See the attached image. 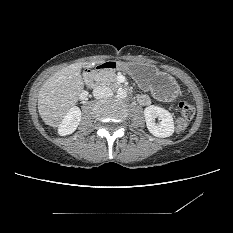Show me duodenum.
Returning <instances> with one entry per match:
<instances>
[{
    "instance_id": "1",
    "label": "duodenum",
    "mask_w": 233,
    "mask_h": 233,
    "mask_svg": "<svg viewBox=\"0 0 233 233\" xmlns=\"http://www.w3.org/2000/svg\"><path fill=\"white\" fill-rule=\"evenodd\" d=\"M118 68H119V63L116 61L100 62L96 64L94 67L87 69L83 74V79L86 84L92 85L93 77L95 73L105 69L117 70Z\"/></svg>"
}]
</instances>
